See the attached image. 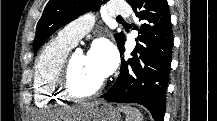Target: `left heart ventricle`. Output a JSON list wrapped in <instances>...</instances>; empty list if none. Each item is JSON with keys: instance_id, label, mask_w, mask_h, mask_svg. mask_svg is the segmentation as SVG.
Returning a JSON list of instances; mask_svg holds the SVG:
<instances>
[{"instance_id": "obj_1", "label": "left heart ventricle", "mask_w": 217, "mask_h": 121, "mask_svg": "<svg viewBox=\"0 0 217 121\" xmlns=\"http://www.w3.org/2000/svg\"><path fill=\"white\" fill-rule=\"evenodd\" d=\"M103 79L83 54H75L71 71L73 88L80 93L94 90Z\"/></svg>"}]
</instances>
